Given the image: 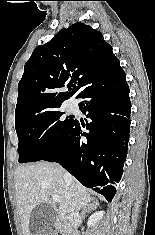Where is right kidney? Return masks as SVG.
I'll return each mask as SVG.
<instances>
[{
	"label": "right kidney",
	"mask_w": 155,
	"mask_h": 235,
	"mask_svg": "<svg viewBox=\"0 0 155 235\" xmlns=\"http://www.w3.org/2000/svg\"><path fill=\"white\" fill-rule=\"evenodd\" d=\"M103 215H104V211H98L92 214L87 221V226L88 227L96 226L99 220L102 219Z\"/></svg>",
	"instance_id": "right-kidney-1"
}]
</instances>
